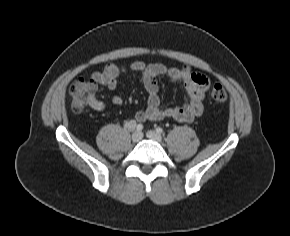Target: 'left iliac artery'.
<instances>
[{
    "mask_svg": "<svg viewBox=\"0 0 290 236\" xmlns=\"http://www.w3.org/2000/svg\"><path fill=\"white\" fill-rule=\"evenodd\" d=\"M156 131H157L158 133H163V129H162L161 127H157V128H156Z\"/></svg>",
    "mask_w": 290,
    "mask_h": 236,
    "instance_id": "44dca946",
    "label": "left iliac artery"
}]
</instances>
